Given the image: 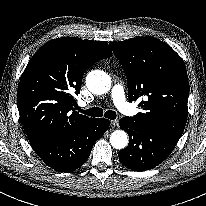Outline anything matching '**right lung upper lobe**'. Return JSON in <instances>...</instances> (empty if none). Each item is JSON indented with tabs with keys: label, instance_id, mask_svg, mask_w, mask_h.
Here are the masks:
<instances>
[{
	"label": "right lung upper lobe",
	"instance_id": "1",
	"mask_svg": "<svg viewBox=\"0 0 206 206\" xmlns=\"http://www.w3.org/2000/svg\"><path fill=\"white\" fill-rule=\"evenodd\" d=\"M112 56L106 42L63 37L44 44L30 59L19 84L18 110L31 143L63 136L90 121L76 112L85 71Z\"/></svg>",
	"mask_w": 206,
	"mask_h": 206
}]
</instances>
